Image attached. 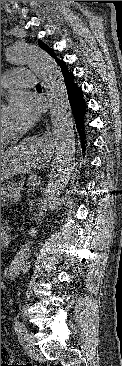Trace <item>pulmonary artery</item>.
Wrapping results in <instances>:
<instances>
[{
	"label": "pulmonary artery",
	"instance_id": "1",
	"mask_svg": "<svg viewBox=\"0 0 122 366\" xmlns=\"http://www.w3.org/2000/svg\"><path fill=\"white\" fill-rule=\"evenodd\" d=\"M37 73L31 70L12 69L1 77V88L9 85L17 87L34 88L36 86Z\"/></svg>",
	"mask_w": 122,
	"mask_h": 366
}]
</instances>
